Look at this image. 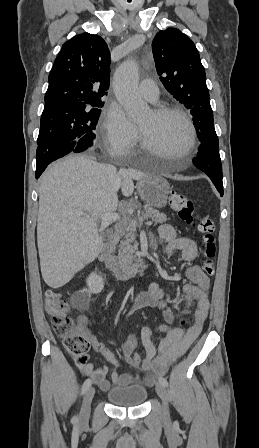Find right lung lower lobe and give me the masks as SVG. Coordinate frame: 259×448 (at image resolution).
Returning <instances> with one entry per match:
<instances>
[{"instance_id":"98d812e1","label":"right lung lower lobe","mask_w":259,"mask_h":448,"mask_svg":"<svg viewBox=\"0 0 259 448\" xmlns=\"http://www.w3.org/2000/svg\"><path fill=\"white\" fill-rule=\"evenodd\" d=\"M76 151V141L51 142L38 145L36 152L37 165L35 177L39 178L51 162L69 153H77Z\"/></svg>"}]
</instances>
